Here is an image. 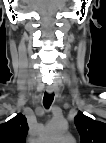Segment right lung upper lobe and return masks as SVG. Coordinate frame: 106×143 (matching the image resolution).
I'll list each match as a JSON object with an SVG mask.
<instances>
[{
  "instance_id": "obj_1",
  "label": "right lung upper lobe",
  "mask_w": 106,
  "mask_h": 143,
  "mask_svg": "<svg viewBox=\"0 0 106 143\" xmlns=\"http://www.w3.org/2000/svg\"><path fill=\"white\" fill-rule=\"evenodd\" d=\"M28 129L25 116L19 113L0 125V143H25Z\"/></svg>"
}]
</instances>
